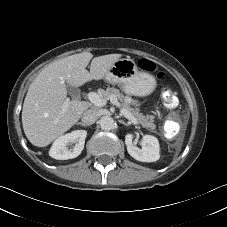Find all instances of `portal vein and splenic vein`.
<instances>
[{"label": "portal vein and splenic vein", "instance_id": "18ae733b", "mask_svg": "<svg viewBox=\"0 0 227 227\" xmlns=\"http://www.w3.org/2000/svg\"><path fill=\"white\" fill-rule=\"evenodd\" d=\"M88 99L90 100L91 103H93L95 106H98V107H103L106 105L107 103V99L103 98L102 96L98 95L97 93L95 92H89L88 93ZM110 102L113 104V105H116V106H119L120 107V104L118 102V99L115 97V96H110L109 99ZM68 107V103L65 102L64 105H63V111ZM120 112L122 115H124L128 120H130L133 124H137V120L127 111L125 110L124 108H120Z\"/></svg>", "mask_w": 227, "mask_h": 227}]
</instances>
